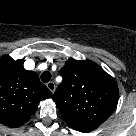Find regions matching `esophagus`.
I'll use <instances>...</instances> for the list:
<instances>
[{
	"label": "esophagus",
	"mask_w": 136,
	"mask_h": 136,
	"mask_svg": "<svg viewBox=\"0 0 136 136\" xmlns=\"http://www.w3.org/2000/svg\"><path fill=\"white\" fill-rule=\"evenodd\" d=\"M47 88L52 92L54 93L55 90H56V85L53 81H50L46 84Z\"/></svg>",
	"instance_id": "obj_1"
}]
</instances>
